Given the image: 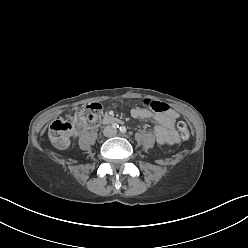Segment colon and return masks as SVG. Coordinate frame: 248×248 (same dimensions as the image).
I'll return each mask as SVG.
<instances>
[{
    "label": "colon",
    "instance_id": "obj_1",
    "mask_svg": "<svg viewBox=\"0 0 248 248\" xmlns=\"http://www.w3.org/2000/svg\"><path fill=\"white\" fill-rule=\"evenodd\" d=\"M143 104L149 106L156 112H163L169 109L168 105L156 100H143ZM101 106L99 104H91L84 108L76 110L71 114V120L57 118L49 128V138L53 145L59 149H64L69 145L70 137L74 132H79L82 129L98 123L101 116ZM180 135L183 140H188L190 132L187 124L184 121H179L177 124Z\"/></svg>",
    "mask_w": 248,
    "mask_h": 248
}]
</instances>
